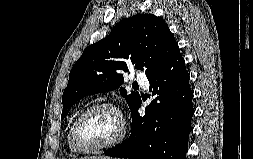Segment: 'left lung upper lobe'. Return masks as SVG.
Returning <instances> with one entry per match:
<instances>
[{"mask_svg":"<svg viewBox=\"0 0 253 159\" xmlns=\"http://www.w3.org/2000/svg\"><path fill=\"white\" fill-rule=\"evenodd\" d=\"M179 51L167 24L152 14H138L120 21L101 41L85 48L72 67L62 96L61 120L81 98L117 89L128 67L144 70L149 78ZM131 111L139 103L137 92L120 88Z\"/></svg>","mask_w":253,"mask_h":159,"instance_id":"left-lung-upper-lobe-1","label":"left lung upper lobe"}]
</instances>
